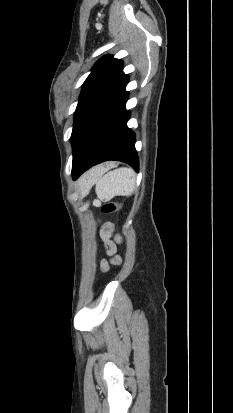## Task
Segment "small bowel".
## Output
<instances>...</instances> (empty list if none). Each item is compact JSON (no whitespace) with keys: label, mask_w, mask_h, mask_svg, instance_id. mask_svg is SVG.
<instances>
[{"label":"small bowel","mask_w":233,"mask_h":413,"mask_svg":"<svg viewBox=\"0 0 233 413\" xmlns=\"http://www.w3.org/2000/svg\"><path fill=\"white\" fill-rule=\"evenodd\" d=\"M109 234H110L109 231H106V232L104 233V237H105V239H106L107 250H108V254L114 255L116 248H115L114 243L109 239ZM117 262H119V258H118V257H115L114 259H112V260L110 261V263H117ZM108 267H109V262L103 261V262H102V268H103L104 270H107Z\"/></svg>","instance_id":"obj_1"}]
</instances>
